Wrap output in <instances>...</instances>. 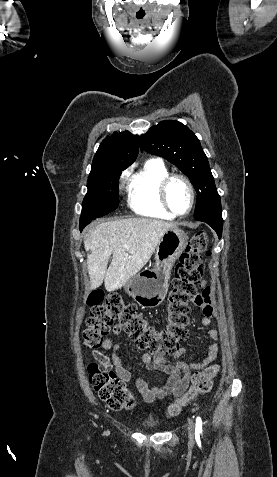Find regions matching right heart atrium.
Segmentation results:
<instances>
[{"label": "right heart atrium", "mask_w": 277, "mask_h": 477, "mask_svg": "<svg viewBox=\"0 0 277 477\" xmlns=\"http://www.w3.org/2000/svg\"><path fill=\"white\" fill-rule=\"evenodd\" d=\"M126 173L123 174V177H125Z\"/></svg>", "instance_id": "d8ad5b80"}]
</instances>
